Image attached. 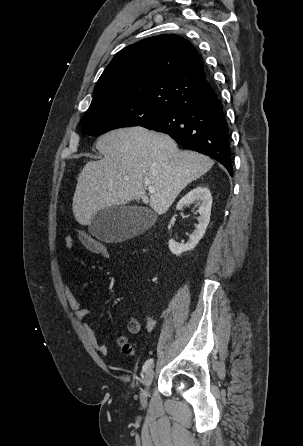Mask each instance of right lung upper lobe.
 Here are the masks:
<instances>
[{
	"mask_svg": "<svg viewBox=\"0 0 303 446\" xmlns=\"http://www.w3.org/2000/svg\"><path fill=\"white\" fill-rule=\"evenodd\" d=\"M211 89L192 43L164 34L118 52L97 81L89 109L130 102L172 108Z\"/></svg>",
	"mask_w": 303,
	"mask_h": 446,
	"instance_id": "1",
	"label": "right lung upper lobe"
}]
</instances>
